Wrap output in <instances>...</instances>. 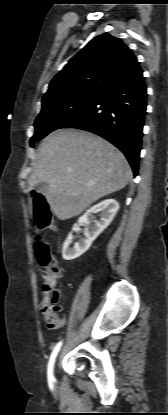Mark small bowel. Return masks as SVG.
I'll list each match as a JSON object with an SVG mask.
<instances>
[{
    "label": "small bowel",
    "instance_id": "small-bowel-1",
    "mask_svg": "<svg viewBox=\"0 0 168 415\" xmlns=\"http://www.w3.org/2000/svg\"><path fill=\"white\" fill-rule=\"evenodd\" d=\"M42 300L40 303V310L43 314L48 327L50 329H57L65 325L64 317L59 316L62 312V307L58 305L60 294L57 287H51L49 284H44L42 287Z\"/></svg>",
    "mask_w": 168,
    "mask_h": 415
}]
</instances>
